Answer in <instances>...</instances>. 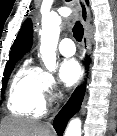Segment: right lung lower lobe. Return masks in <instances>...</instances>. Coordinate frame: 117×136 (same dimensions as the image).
Listing matches in <instances>:
<instances>
[{"instance_id":"1","label":"right lung lower lobe","mask_w":117,"mask_h":136,"mask_svg":"<svg viewBox=\"0 0 117 136\" xmlns=\"http://www.w3.org/2000/svg\"><path fill=\"white\" fill-rule=\"evenodd\" d=\"M89 59L87 60V65ZM85 94V85L77 88L66 105L60 110L53 121V126L59 136H62L68 120L79 111L83 96Z\"/></svg>"}]
</instances>
